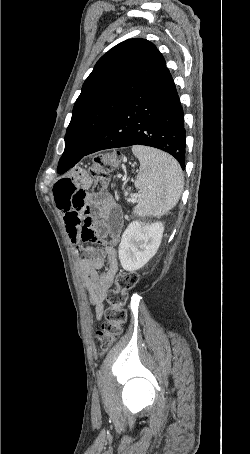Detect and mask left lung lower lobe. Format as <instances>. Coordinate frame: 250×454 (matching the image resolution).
<instances>
[{"label": "left lung lower lobe", "mask_w": 250, "mask_h": 454, "mask_svg": "<svg viewBox=\"0 0 250 454\" xmlns=\"http://www.w3.org/2000/svg\"><path fill=\"white\" fill-rule=\"evenodd\" d=\"M137 144L168 152L185 169L183 109L166 67L107 121L83 155L63 154L57 172H66L91 153Z\"/></svg>", "instance_id": "0a47b994"}]
</instances>
